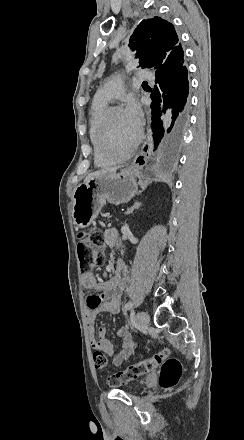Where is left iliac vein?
<instances>
[{
  "label": "left iliac vein",
  "instance_id": "4c4485c4",
  "mask_svg": "<svg viewBox=\"0 0 244 440\" xmlns=\"http://www.w3.org/2000/svg\"><path fill=\"white\" fill-rule=\"evenodd\" d=\"M135 320L140 327L146 328L150 323V316L146 312H138Z\"/></svg>",
  "mask_w": 244,
  "mask_h": 440
}]
</instances>
